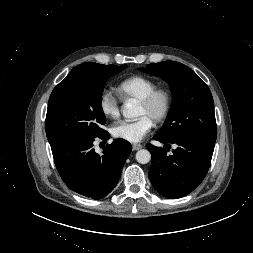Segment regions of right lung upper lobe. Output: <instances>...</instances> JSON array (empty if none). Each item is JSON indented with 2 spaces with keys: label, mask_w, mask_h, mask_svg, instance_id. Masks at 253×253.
I'll use <instances>...</instances> for the list:
<instances>
[{
  "label": "right lung upper lobe",
  "mask_w": 253,
  "mask_h": 253,
  "mask_svg": "<svg viewBox=\"0 0 253 253\" xmlns=\"http://www.w3.org/2000/svg\"><path fill=\"white\" fill-rule=\"evenodd\" d=\"M102 64H98V63H93V62H86V63H83L81 65H78L76 67H74L72 69V71H75V70H79V69H83V68H95V67H99L101 66Z\"/></svg>",
  "instance_id": "right-lung-upper-lobe-1"
}]
</instances>
